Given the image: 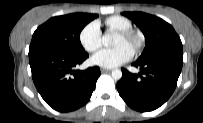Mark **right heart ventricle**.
Instances as JSON below:
<instances>
[{
  "label": "right heart ventricle",
  "mask_w": 203,
  "mask_h": 123,
  "mask_svg": "<svg viewBox=\"0 0 203 123\" xmlns=\"http://www.w3.org/2000/svg\"><path fill=\"white\" fill-rule=\"evenodd\" d=\"M105 24L109 29L115 31L132 29L131 21L128 18L119 15L108 17L105 20Z\"/></svg>",
  "instance_id": "obj_1"
}]
</instances>
